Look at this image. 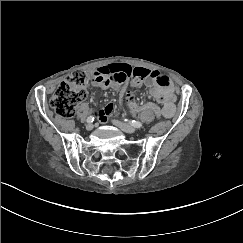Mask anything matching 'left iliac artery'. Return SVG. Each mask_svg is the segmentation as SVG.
Returning <instances> with one entry per match:
<instances>
[{"mask_svg":"<svg viewBox=\"0 0 243 243\" xmlns=\"http://www.w3.org/2000/svg\"><path fill=\"white\" fill-rule=\"evenodd\" d=\"M125 121H127V119ZM129 123L136 128H141L143 126L141 122L135 120L129 121Z\"/></svg>","mask_w":243,"mask_h":243,"instance_id":"left-iliac-artery-1","label":"left iliac artery"}]
</instances>
